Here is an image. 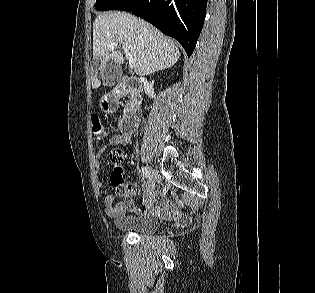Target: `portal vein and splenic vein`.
<instances>
[{"instance_id": "1", "label": "portal vein and splenic vein", "mask_w": 315, "mask_h": 293, "mask_svg": "<svg viewBox=\"0 0 315 293\" xmlns=\"http://www.w3.org/2000/svg\"><path fill=\"white\" fill-rule=\"evenodd\" d=\"M119 44L117 42H113L108 46V50H114ZM124 53L125 56L128 60V64L130 68H134L135 67V61L133 59V57L130 55L129 51L127 49H124Z\"/></svg>"}]
</instances>
